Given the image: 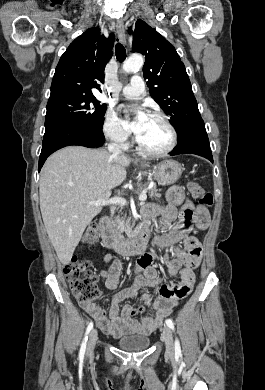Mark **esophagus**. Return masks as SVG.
I'll use <instances>...</instances> for the list:
<instances>
[{"mask_svg":"<svg viewBox=\"0 0 265 390\" xmlns=\"http://www.w3.org/2000/svg\"><path fill=\"white\" fill-rule=\"evenodd\" d=\"M116 31H117L119 41L125 45L126 44V35H125V30H124V23L122 20H119L117 22Z\"/></svg>","mask_w":265,"mask_h":390,"instance_id":"1","label":"esophagus"}]
</instances>
